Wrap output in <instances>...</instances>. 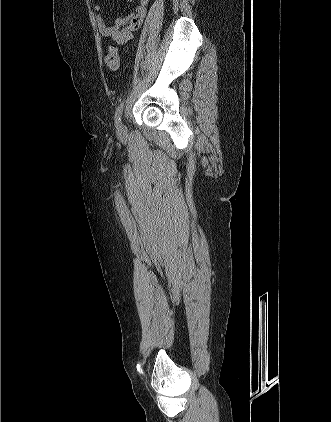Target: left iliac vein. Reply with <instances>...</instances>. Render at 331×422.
Returning <instances> with one entry per match:
<instances>
[{"label": "left iliac vein", "mask_w": 331, "mask_h": 422, "mask_svg": "<svg viewBox=\"0 0 331 422\" xmlns=\"http://www.w3.org/2000/svg\"><path fill=\"white\" fill-rule=\"evenodd\" d=\"M119 130H120V132H125L126 131V127L123 124V122L120 123Z\"/></svg>", "instance_id": "4c4485c4"}]
</instances>
